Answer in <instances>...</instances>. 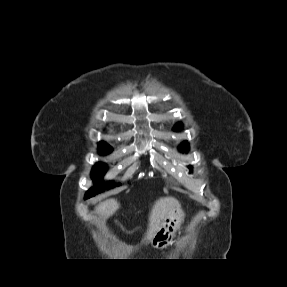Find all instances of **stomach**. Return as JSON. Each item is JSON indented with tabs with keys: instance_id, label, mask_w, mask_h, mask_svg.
<instances>
[{
	"instance_id": "obj_1",
	"label": "stomach",
	"mask_w": 287,
	"mask_h": 287,
	"mask_svg": "<svg viewBox=\"0 0 287 287\" xmlns=\"http://www.w3.org/2000/svg\"><path fill=\"white\" fill-rule=\"evenodd\" d=\"M184 221L182 211L170 212L162 221L160 228L157 230L151 240V245L156 249H164L173 242L176 231Z\"/></svg>"
}]
</instances>
